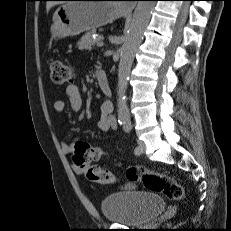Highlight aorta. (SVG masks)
I'll return each instance as SVG.
<instances>
[{
  "label": "aorta",
  "instance_id": "aorta-1",
  "mask_svg": "<svg viewBox=\"0 0 231 231\" xmlns=\"http://www.w3.org/2000/svg\"><path fill=\"white\" fill-rule=\"evenodd\" d=\"M155 1H139L129 24L126 39L120 51L117 85V112L121 123H130V112L126 100V90L132 63L138 46L149 23Z\"/></svg>",
  "mask_w": 231,
  "mask_h": 231
}]
</instances>
